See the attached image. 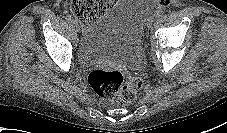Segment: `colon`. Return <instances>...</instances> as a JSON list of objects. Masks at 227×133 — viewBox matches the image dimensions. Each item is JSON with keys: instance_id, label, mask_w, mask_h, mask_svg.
Segmentation results:
<instances>
[{"instance_id": "obj_1", "label": "colon", "mask_w": 227, "mask_h": 133, "mask_svg": "<svg viewBox=\"0 0 227 133\" xmlns=\"http://www.w3.org/2000/svg\"><path fill=\"white\" fill-rule=\"evenodd\" d=\"M115 0H70L72 14L83 24L96 21ZM169 0H159V5L166 7ZM88 81L98 96L105 100H114L119 105L131 103L141 90L143 81L138 75L126 79L118 71L95 69L90 72Z\"/></svg>"}]
</instances>
